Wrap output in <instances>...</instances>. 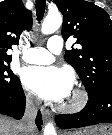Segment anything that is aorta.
<instances>
[{
    "label": "aorta",
    "instance_id": "obj_1",
    "mask_svg": "<svg viewBox=\"0 0 112 135\" xmlns=\"http://www.w3.org/2000/svg\"><path fill=\"white\" fill-rule=\"evenodd\" d=\"M62 15L59 12L49 13L41 27V32L45 35L52 34L62 25ZM43 135H57L53 122H48L43 130Z\"/></svg>",
    "mask_w": 112,
    "mask_h": 135
}]
</instances>
